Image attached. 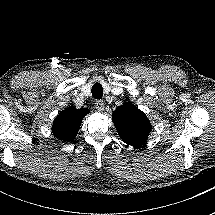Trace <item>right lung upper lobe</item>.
Returning a JSON list of instances; mask_svg holds the SVG:
<instances>
[{"instance_id": "1", "label": "right lung upper lobe", "mask_w": 215, "mask_h": 215, "mask_svg": "<svg viewBox=\"0 0 215 215\" xmlns=\"http://www.w3.org/2000/svg\"><path fill=\"white\" fill-rule=\"evenodd\" d=\"M89 110L86 108H66L54 120L52 125L53 134L62 141L70 142L75 139L81 122Z\"/></svg>"}]
</instances>
